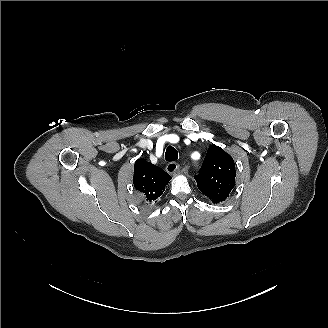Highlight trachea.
<instances>
[{
    "mask_svg": "<svg viewBox=\"0 0 328 328\" xmlns=\"http://www.w3.org/2000/svg\"><path fill=\"white\" fill-rule=\"evenodd\" d=\"M165 159L169 162H175L178 159V152L173 146H168L165 151Z\"/></svg>",
    "mask_w": 328,
    "mask_h": 328,
    "instance_id": "1",
    "label": "trachea"
}]
</instances>
